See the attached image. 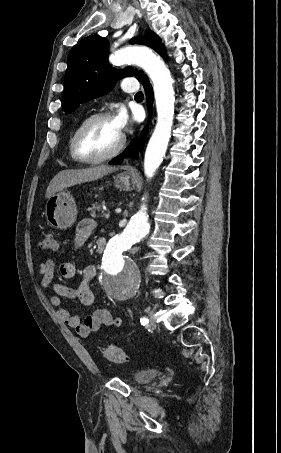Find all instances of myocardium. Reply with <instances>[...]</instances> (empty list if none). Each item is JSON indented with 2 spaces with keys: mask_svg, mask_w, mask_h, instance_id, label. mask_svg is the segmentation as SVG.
Instances as JSON below:
<instances>
[{
  "mask_svg": "<svg viewBox=\"0 0 281 453\" xmlns=\"http://www.w3.org/2000/svg\"><path fill=\"white\" fill-rule=\"evenodd\" d=\"M112 120L111 115L109 113H96L85 119L77 128L74 136V157L83 163L93 164V163H101L107 160H110L116 157L124 148L126 143V136L122 133L121 139L116 145L114 149L110 152L95 157V158H87L81 152V141L86 129L91 125L93 122L96 121H106Z\"/></svg>",
  "mask_w": 281,
  "mask_h": 453,
  "instance_id": "myocardium-1",
  "label": "myocardium"
}]
</instances>
